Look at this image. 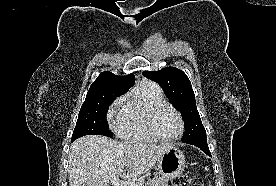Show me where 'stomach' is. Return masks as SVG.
Instances as JSON below:
<instances>
[{"mask_svg": "<svg viewBox=\"0 0 276 186\" xmlns=\"http://www.w3.org/2000/svg\"><path fill=\"white\" fill-rule=\"evenodd\" d=\"M185 163L183 152L173 146L158 160V169L160 174L166 179H174L182 174Z\"/></svg>", "mask_w": 276, "mask_h": 186, "instance_id": "obj_1", "label": "stomach"}]
</instances>
